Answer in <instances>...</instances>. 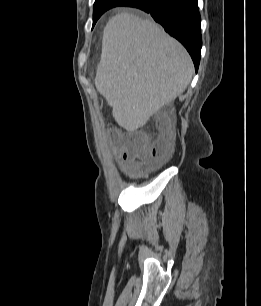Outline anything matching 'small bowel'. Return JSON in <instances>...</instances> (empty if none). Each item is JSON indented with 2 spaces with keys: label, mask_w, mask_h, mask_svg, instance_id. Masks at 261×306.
Returning <instances> with one entry per match:
<instances>
[{
  "label": "small bowel",
  "mask_w": 261,
  "mask_h": 306,
  "mask_svg": "<svg viewBox=\"0 0 261 306\" xmlns=\"http://www.w3.org/2000/svg\"><path fill=\"white\" fill-rule=\"evenodd\" d=\"M124 164L125 166L134 171H140L143 169V164L139 162L132 161L126 153H124Z\"/></svg>",
  "instance_id": "c3829d8e"
}]
</instances>
